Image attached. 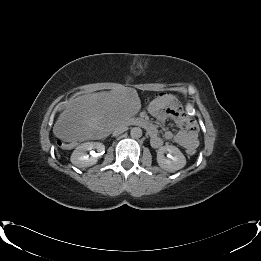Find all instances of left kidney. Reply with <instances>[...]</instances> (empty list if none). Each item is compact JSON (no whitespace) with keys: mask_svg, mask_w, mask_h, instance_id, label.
Masks as SVG:
<instances>
[{"mask_svg":"<svg viewBox=\"0 0 261 261\" xmlns=\"http://www.w3.org/2000/svg\"><path fill=\"white\" fill-rule=\"evenodd\" d=\"M157 162L162 169L175 172L186 165V158L176 146L167 145L157 150Z\"/></svg>","mask_w":261,"mask_h":261,"instance_id":"5707ae66","label":"left kidney"}]
</instances>
